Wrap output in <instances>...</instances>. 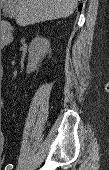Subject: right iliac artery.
<instances>
[{"instance_id": "1", "label": "right iliac artery", "mask_w": 109, "mask_h": 170, "mask_svg": "<svg viewBox=\"0 0 109 170\" xmlns=\"http://www.w3.org/2000/svg\"><path fill=\"white\" fill-rule=\"evenodd\" d=\"M12 168H13V165L8 164V165H6L5 170H12Z\"/></svg>"}]
</instances>
